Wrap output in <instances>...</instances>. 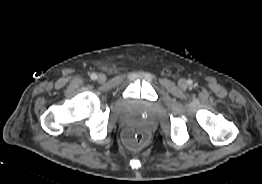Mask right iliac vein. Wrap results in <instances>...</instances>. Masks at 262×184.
<instances>
[{"instance_id": "1", "label": "right iliac vein", "mask_w": 262, "mask_h": 184, "mask_svg": "<svg viewBox=\"0 0 262 184\" xmlns=\"http://www.w3.org/2000/svg\"><path fill=\"white\" fill-rule=\"evenodd\" d=\"M97 80L99 83H104L106 80V76L104 74H99Z\"/></svg>"}]
</instances>
